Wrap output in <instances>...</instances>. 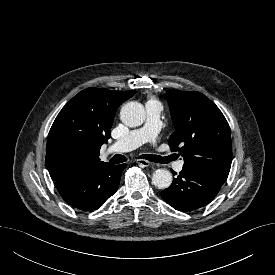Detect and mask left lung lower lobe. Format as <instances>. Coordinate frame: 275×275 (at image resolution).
Instances as JSON below:
<instances>
[{"mask_svg":"<svg viewBox=\"0 0 275 275\" xmlns=\"http://www.w3.org/2000/svg\"><path fill=\"white\" fill-rule=\"evenodd\" d=\"M225 181L216 175L183 167L160 195L176 210L193 211L211 202Z\"/></svg>","mask_w":275,"mask_h":275,"instance_id":"0a47b994","label":"left lung lower lobe"}]
</instances>
